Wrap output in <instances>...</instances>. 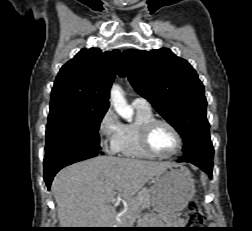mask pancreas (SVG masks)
Wrapping results in <instances>:
<instances>
[{
    "mask_svg": "<svg viewBox=\"0 0 252 231\" xmlns=\"http://www.w3.org/2000/svg\"><path fill=\"white\" fill-rule=\"evenodd\" d=\"M129 203H130V207H134V206L149 207L151 204L150 191L148 189H142L140 192H138V194L135 197L131 198ZM128 219H129L128 213L124 214L120 218L121 220L120 224L122 226L127 225Z\"/></svg>",
    "mask_w": 252,
    "mask_h": 231,
    "instance_id": "pancreas-1",
    "label": "pancreas"
}]
</instances>
